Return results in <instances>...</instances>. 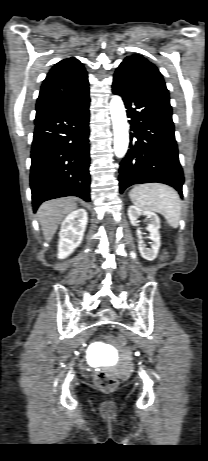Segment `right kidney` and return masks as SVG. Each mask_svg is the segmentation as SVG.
Here are the masks:
<instances>
[{"label": "right kidney", "instance_id": "1", "mask_svg": "<svg viewBox=\"0 0 208 461\" xmlns=\"http://www.w3.org/2000/svg\"><path fill=\"white\" fill-rule=\"evenodd\" d=\"M87 220V212L84 209L71 212L63 220L58 242L59 259L68 257L81 244Z\"/></svg>", "mask_w": 208, "mask_h": 461}]
</instances>
